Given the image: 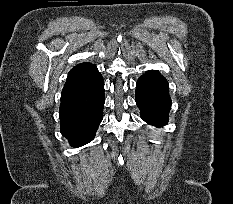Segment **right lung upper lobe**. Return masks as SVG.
I'll use <instances>...</instances> for the list:
<instances>
[{
	"instance_id": "cb5924a9",
	"label": "right lung upper lobe",
	"mask_w": 233,
	"mask_h": 204,
	"mask_svg": "<svg viewBox=\"0 0 233 204\" xmlns=\"http://www.w3.org/2000/svg\"><path fill=\"white\" fill-rule=\"evenodd\" d=\"M95 66L91 63H81L76 65L68 74L67 80L75 78L79 75H82L91 69H93Z\"/></svg>"
}]
</instances>
